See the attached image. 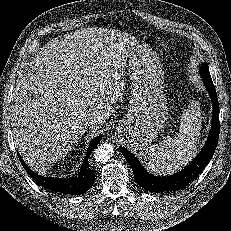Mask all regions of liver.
<instances>
[{"label": "liver", "mask_w": 231, "mask_h": 231, "mask_svg": "<svg viewBox=\"0 0 231 231\" xmlns=\"http://www.w3.org/2000/svg\"><path fill=\"white\" fill-rule=\"evenodd\" d=\"M140 48L120 30L83 28L50 40L19 74L12 96L14 142L33 169L46 170L102 124L124 90V57ZM100 126H90L93 132Z\"/></svg>", "instance_id": "obj_1"}]
</instances>
